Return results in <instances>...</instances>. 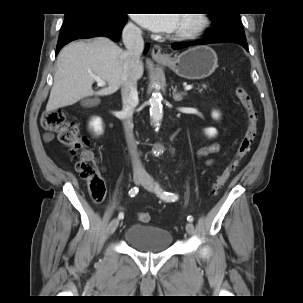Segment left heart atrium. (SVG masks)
I'll return each instance as SVG.
<instances>
[{"label":"left heart atrium","instance_id":"39dd6f15","mask_svg":"<svg viewBox=\"0 0 303 303\" xmlns=\"http://www.w3.org/2000/svg\"><path fill=\"white\" fill-rule=\"evenodd\" d=\"M136 21L154 32H172L176 29L178 14H136Z\"/></svg>","mask_w":303,"mask_h":303}]
</instances>
